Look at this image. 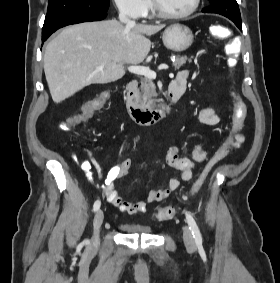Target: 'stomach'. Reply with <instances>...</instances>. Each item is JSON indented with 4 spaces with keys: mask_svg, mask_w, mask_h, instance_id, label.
I'll list each match as a JSON object with an SVG mask.
<instances>
[{
    "mask_svg": "<svg viewBox=\"0 0 280 283\" xmlns=\"http://www.w3.org/2000/svg\"><path fill=\"white\" fill-rule=\"evenodd\" d=\"M162 39L167 49L182 52L192 45L194 36L187 26L176 23L165 29Z\"/></svg>",
    "mask_w": 280,
    "mask_h": 283,
    "instance_id": "0dacf381",
    "label": "stomach"
}]
</instances>
